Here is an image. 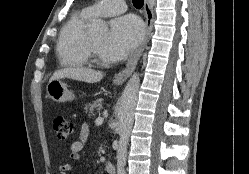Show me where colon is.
Listing matches in <instances>:
<instances>
[{
  "instance_id": "colon-1",
  "label": "colon",
  "mask_w": 249,
  "mask_h": 174,
  "mask_svg": "<svg viewBox=\"0 0 249 174\" xmlns=\"http://www.w3.org/2000/svg\"><path fill=\"white\" fill-rule=\"evenodd\" d=\"M51 123L60 140L65 141L73 134V124L65 117L60 115L53 116Z\"/></svg>"
}]
</instances>
